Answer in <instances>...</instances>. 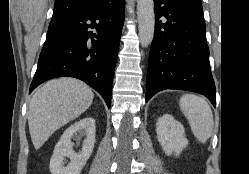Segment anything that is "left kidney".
<instances>
[{
    "label": "left kidney",
    "mask_w": 249,
    "mask_h": 174,
    "mask_svg": "<svg viewBox=\"0 0 249 174\" xmlns=\"http://www.w3.org/2000/svg\"><path fill=\"white\" fill-rule=\"evenodd\" d=\"M157 139L167 155L177 156L188 145L183 125L170 114H165L157 120Z\"/></svg>",
    "instance_id": "1"
}]
</instances>
